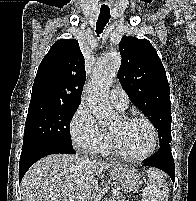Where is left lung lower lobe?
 I'll return each instance as SVG.
<instances>
[{"label":"left lung lower lobe","mask_w":196,"mask_h":201,"mask_svg":"<svg viewBox=\"0 0 196 201\" xmlns=\"http://www.w3.org/2000/svg\"><path fill=\"white\" fill-rule=\"evenodd\" d=\"M145 166L155 167L166 172L174 182L175 180V166L170 149V143L160 145L157 153L144 161Z\"/></svg>","instance_id":"1"}]
</instances>
